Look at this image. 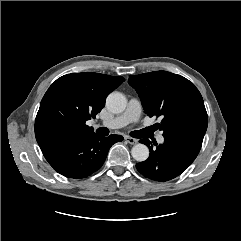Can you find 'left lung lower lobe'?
<instances>
[{
    "label": "left lung lower lobe",
    "mask_w": 241,
    "mask_h": 241,
    "mask_svg": "<svg viewBox=\"0 0 241 241\" xmlns=\"http://www.w3.org/2000/svg\"><path fill=\"white\" fill-rule=\"evenodd\" d=\"M204 135L164 136V143L153 147L148 139L140 140L148 146L150 155L146 161L136 164L137 170L145 177L165 182L185 171L197 157Z\"/></svg>",
    "instance_id": "obj_1"
}]
</instances>
